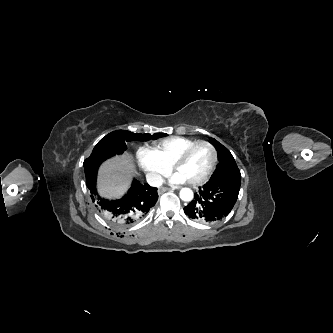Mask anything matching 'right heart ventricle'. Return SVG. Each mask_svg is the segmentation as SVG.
Returning <instances> with one entry per match:
<instances>
[{
	"mask_svg": "<svg viewBox=\"0 0 333 333\" xmlns=\"http://www.w3.org/2000/svg\"><path fill=\"white\" fill-rule=\"evenodd\" d=\"M197 140L182 137L171 136L155 142L152 149L155 151L159 159L168 167H170L176 157L188 146Z\"/></svg>",
	"mask_w": 333,
	"mask_h": 333,
	"instance_id": "obj_1",
	"label": "right heart ventricle"
}]
</instances>
